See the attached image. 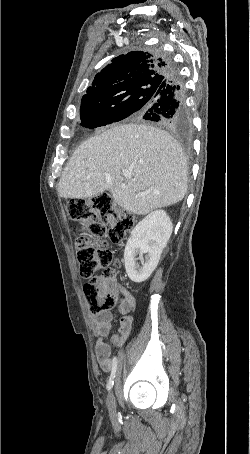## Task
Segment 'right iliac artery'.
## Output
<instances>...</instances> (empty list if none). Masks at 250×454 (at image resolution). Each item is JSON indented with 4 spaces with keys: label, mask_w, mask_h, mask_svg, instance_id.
Masks as SVG:
<instances>
[{
    "label": "right iliac artery",
    "mask_w": 250,
    "mask_h": 454,
    "mask_svg": "<svg viewBox=\"0 0 250 454\" xmlns=\"http://www.w3.org/2000/svg\"><path fill=\"white\" fill-rule=\"evenodd\" d=\"M117 365H118V359L117 357L113 358V365H112V370H111V375L109 377L108 383H107V390L110 391L114 385V378L117 370Z\"/></svg>",
    "instance_id": "obj_1"
}]
</instances>
